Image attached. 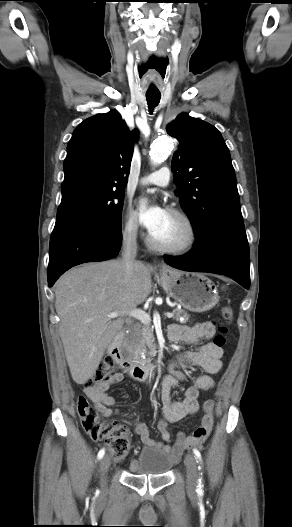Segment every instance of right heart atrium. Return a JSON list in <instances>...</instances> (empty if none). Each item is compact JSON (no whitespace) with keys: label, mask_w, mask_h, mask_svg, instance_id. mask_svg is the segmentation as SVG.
I'll return each mask as SVG.
<instances>
[{"label":"right heart atrium","mask_w":292,"mask_h":527,"mask_svg":"<svg viewBox=\"0 0 292 527\" xmlns=\"http://www.w3.org/2000/svg\"><path fill=\"white\" fill-rule=\"evenodd\" d=\"M123 237L126 240L132 241L137 237L138 223L133 212L128 211L125 215V221L123 226Z\"/></svg>","instance_id":"obj_1"}]
</instances>
